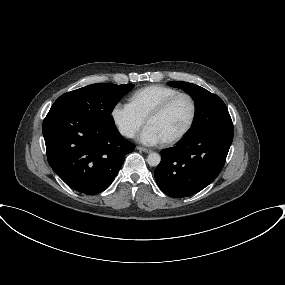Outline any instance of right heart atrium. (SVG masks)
<instances>
[{
	"label": "right heart atrium",
	"instance_id": "d8ad5b80",
	"mask_svg": "<svg viewBox=\"0 0 285 285\" xmlns=\"http://www.w3.org/2000/svg\"><path fill=\"white\" fill-rule=\"evenodd\" d=\"M111 118L121 135L133 138L145 123L130 103L119 101L111 110Z\"/></svg>",
	"mask_w": 285,
	"mask_h": 285
}]
</instances>
